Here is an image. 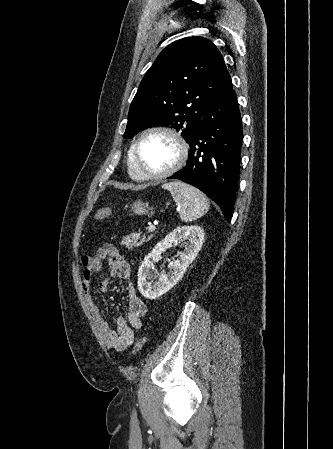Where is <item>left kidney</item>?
<instances>
[{
    "instance_id": "1",
    "label": "left kidney",
    "mask_w": 333,
    "mask_h": 449,
    "mask_svg": "<svg viewBox=\"0 0 333 449\" xmlns=\"http://www.w3.org/2000/svg\"><path fill=\"white\" fill-rule=\"evenodd\" d=\"M204 241V230L197 225L182 226L174 229L159 242L155 248L145 256L138 270V289L140 293L148 298L155 299L169 291L183 277L187 267L198 255ZM183 248L179 259L169 263L171 274H160L158 281L151 285L148 281L151 274L150 269L154 263L160 260L161 254L168 248L178 245Z\"/></svg>"
}]
</instances>
